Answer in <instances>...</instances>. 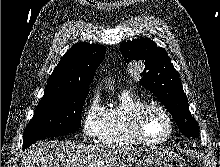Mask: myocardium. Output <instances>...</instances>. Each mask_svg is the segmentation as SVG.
Instances as JSON below:
<instances>
[{"mask_svg":"<svg viewBox=\"0 0 220 167\" xmlns=\"http://www.w3.org/2000/svg\"><path fill=\"white\" fill-rule=\"evenodd\" d=\"M151 110H156L160 112L168 121L170 128L169 134L162 139H158V140L149 139L146 137V135L143 132L142 129L143 120L147 115V113ZM131 129L134 136L139 140L140 143L150 146H158L167 143L173 137L175 133V123L170 113L163 106L155 103H146L138 107L134 111L131 119Z\"/></svg>","mask_w":220,"mask_h":167,"instance_id":"1","label":"myocardium"}]
</instances>
